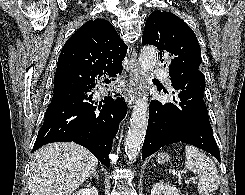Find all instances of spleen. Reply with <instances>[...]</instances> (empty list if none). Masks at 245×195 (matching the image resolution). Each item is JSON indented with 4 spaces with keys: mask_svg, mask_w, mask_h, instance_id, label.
I'll use <instances>...</instances> for the list:
<instances>
[{
    "mask_svg": "<svg viewBox=\"0 0 245 195\" xmlns=\"http://www.w3.org/2000/svg\"><path fill=\"white\" fill-rule=\"evenodd\" d=\"M185 168L198 177L197 190L202 195H210L218 189L220 177L214 162L194 146H185Z\"/></svg>",
    "mask_w": 245,
    "mask_h": 195,
    "instance_id": "3e777b00",
    "label": "spleen"
}]
</instances>
